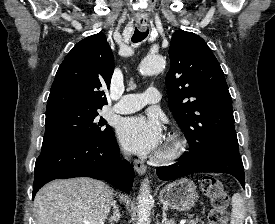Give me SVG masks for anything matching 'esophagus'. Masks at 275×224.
<instances>
[{
  "instance_id": "obj_1",
  "label": "esophagus",
  "mask_w": 275,
  "mask_h": 224,
  "mask_svg": "<svg viewBox=\"0 0 275 224\" xmlns=\"http://www.w3.org/2000/svg\"><path fill=\"white\" fill-rule=\"evenodd\" d=\"M139 27L142 31H144L147 28V22L143 21V22H139ZM134 168L136 170V172L139 175H143L146 173L147 167L144 164L143 161L139 160V159H135L134 160Z\"/></svg>"
}]
</instances>
